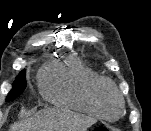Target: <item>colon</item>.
Returning <instances> with one entry per match:
<instances>
[{
  "instance_id": "obj_1",
  "label": "colon",
  "mask_w": 151,
  "mask_h": 131,
  "mask_svg": "<svg viewBox=\"0 0 151 131\" xmlns=\"http://www.w3.org/2000/svg\"><path fill=\"white\" fill-rule=\"evenodd\" d=\"M94 131H112V129L106 126H98L94 129Z\"/></svg>"
}]
</instances>
